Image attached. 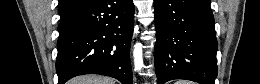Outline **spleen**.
Returning a JSON list of instances; mask_svg holds the SVG:
<instances>
[{
	"label": "spleen",
	"mask_w": 260,
	"mask_h": 84,
	"mask_svg": "<svg viewBox=\"0 0 260 84\" xmlns=\"http://www.w3.org/2000/svg\"><path fill=\"white\" fill-rule=\"evenodd\" d=\"M175 84H193V83L190 81H177L175 82Z\"/></svg>",
	"instance_id": "obj_1"
}]
</instances>
